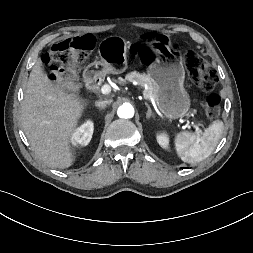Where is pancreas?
I'll list each match as a JSON object with an SVG mask.
<instances>
[{
	"label": "pancreas",
	"instance_id": "pancreas-1",
	"mask_svg": "<svg viewBox=\"0 0 253 253\" xmlns=\"http://www.w3.org/2000/svg\"><path fill=\"white\" fill-rule=\"evenodd\" d=\"M127 81H136L140 86H144L146 84L148 88L144 90V95L152 97L157 101V87L147 75L133 72L131 74H127L125 79L119 78V83L121 84L126 83Z\"/></svg>",
	"mask_w": 253,
	"mask_h": 253
}]
</instances>
